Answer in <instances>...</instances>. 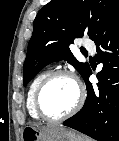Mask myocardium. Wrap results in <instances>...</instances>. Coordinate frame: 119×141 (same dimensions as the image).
Listing matches in <instances>:
<instances>
[{"mask_svg": "<svg viewBox=\"0 0 119 141\" xmlns=\"http://www.w3.org/2000/svg\"><path fill=\"white\" fill-rule=\"evenodd\" d=\"M61 76L69 77L74 82L76 89H77V99H76V102L73 105V107L68 112H66L58 117H49L43 112V110L41 108V104H40L41 95H42V92L45 89V87L52 80H54L57 77H61ZM84 99H85L84 88H83L79 78L77 77V75L70 70H65V69L56 70V71L49 73L41 81V83L37 87L35 94H34V109L40 119H43L48 122H57V121L65 120V119L73 116L74 114H76L81 109V107L84 103Z\"/></svg>", "mask_w": 119, "mask_h": 141, "instance_id": "myocardium-1", "label": "myocardium"}]
</instances>
